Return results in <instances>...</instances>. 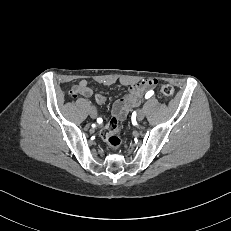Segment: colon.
<instances>
[{
    "mask_svg": "<svg viewBox=\"0 0 231 231\" xmlns=\"http://www.w3.org/2000/svg\"><path fill=\"white\" fill-rule=\"evenodd\" d=\"M160 91L166 97H172L174 95V88L169 84L161 85ZM121 128V119L113 117L101 131L103 140L112 149H117L121 146V139L119 136Z\"/></svg>",
    "mask_w": 231,
    "mask_h": 231,
    "instance_id": "5ec220e1",
    "label": "colon"
}]
</instances>
